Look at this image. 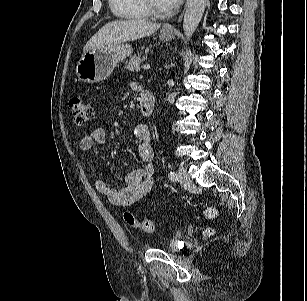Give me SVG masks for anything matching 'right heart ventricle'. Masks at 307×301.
<instances>
[{
	"label": "right heart ventricle",
	"mask_w": 307,
	"mask_h": 301,
	"mask_svg": "<svg viewBox=\"0 0 307 301\" xmlns=\"http://www.w3.org/2000/svg\"><path fill=\"white\" fill-rule=\"evenodd\" d=\"M112 13L122 19H144L148 14L141 0H109Z\"/></svg>",
	"instance_id": "right-heart-ventricle-1"
}]
</instances>
